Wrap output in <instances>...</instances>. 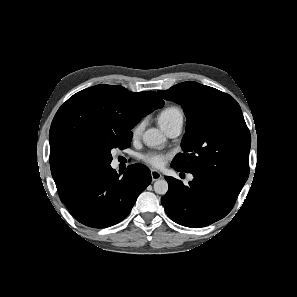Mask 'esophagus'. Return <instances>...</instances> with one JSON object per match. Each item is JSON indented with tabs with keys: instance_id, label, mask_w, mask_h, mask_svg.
Masks as SVG:
<instances>
[{
	"instance_id": "obj_1",
	"label": "esophagus",
	"mask_w": 297,
	"mask_h": 297,
	"mask_svg": "<svg viewBox=\"0 0 297 297\" xmlns=\"http://www.w3.org/2000/svg\"><path fill=\"white\" fill-rule=\"evenodd\" d=\"M151 177L153 181L159 180L162 178V175L159 171L157 170H151Z\"/></svg>"
}]
</instances>
